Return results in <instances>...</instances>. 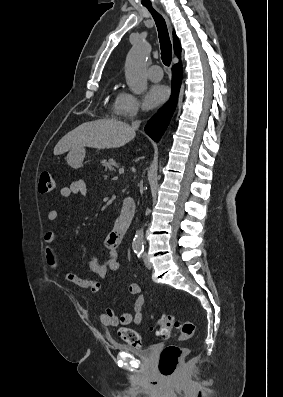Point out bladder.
<instances>
[{"instance_id":"31cf9c89","label":"bladder","mask_w":283,"mask_h":397,"mask_svg":"<svg viewBox=\"0 0 283 397\" xmlns=\"http://www.w3.org/2000/svg\"><path fill=\"white\" fill-rule=\"evenodd\" d=\"M117 347L120 350L131 353V354H133L143 360H147V361L152 360L155 357L156 352L158 350V344H151L149 346L142 347V348L133 347V346L125 345V344H117Z\"/></svg>"}]
</instances>
